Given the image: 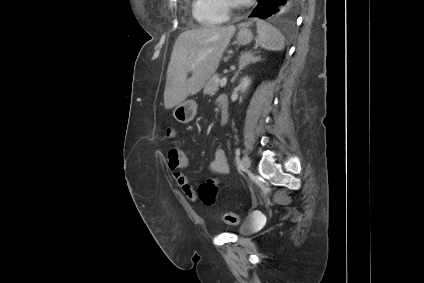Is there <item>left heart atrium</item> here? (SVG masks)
<instances>
[{
	"instance_id": "1",
	"label": "left heart atrium",
	"mask_w": 424,
	"mask_h": 283,
	"mask_svg": "<svg viewBox=\"0 0 424 283\" xmlns=\"http://www.w3.org/2000/svg\"><path fill=\"white\" fill-rule=\"evenodd\" d=\"M236 3L238 4H246L248 3L250 0H234Z\"/></svg>"
}]
</instances>
